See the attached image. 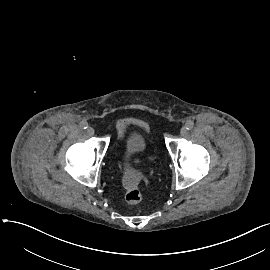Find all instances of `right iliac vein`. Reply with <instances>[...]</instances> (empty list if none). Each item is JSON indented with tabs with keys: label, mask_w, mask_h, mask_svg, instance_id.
Instances as JSON below:
<instances>
[{
	"label": "right iliac vein",
	"mask_w": 270,
	"mask_h": 270,
	"mask_svg": "<svg viewBox=\"0 0 270 270\" xmlns=\"http://www.w3.org/2000/svg\"><path fill=\"white\" fill-rule=\"evenodd\" d=\"M94 128L93 127H88V129H87V133L89 134V135H94Z\"/></svg>",
	"instance_id": "1"
}]
</instances>
